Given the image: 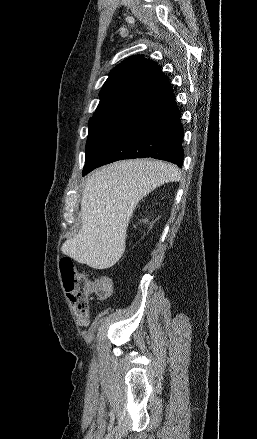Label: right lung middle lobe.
<instances>
[{"label":"right lung middle lobe","instance_id":"dd1d6c3e","mask_svg":"<svg viewBox=\"0 0 257 439\" xmlns=\"http://www.w3.org/2000/svg\"><path fill=\"white\" fill-rule=\"evenodd\" d=\"M125 120L123 117L112 116L90 118L85 164Z\"/></svg>","mask_w":257,"mask_h":439}]
</instances>
